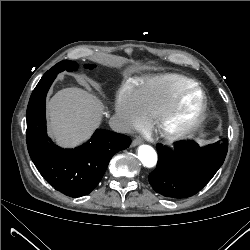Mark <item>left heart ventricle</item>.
Masks as SVG:
<instances>
[{"label":"left heart ventricle","mask_w":250,"mask_h":250,"mask_svg":"<svg viewBox=\"0 0 250 250\" xmlns=\"http://www.w3.org/2000/svg\"><path fill=\"white\" fill-rule=\"evenodd\" d=\"M200 107V95L197 92L189 93L181 102L177 112L172 117L169 126L178 127L191 120Z\"/></svg>","instance_id":"1"}]
</instances>
